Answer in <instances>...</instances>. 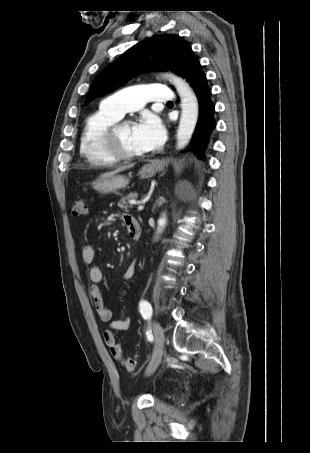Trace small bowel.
<instances>
[{"label": "small bowel", "mask_w": 310, "mask_h": 453, "mask_svg": "<svg viewBox=\"0 0 310 453\" xmlns=\"http://www.w3.org/2000/svg\"><path fill=\"white\" fill-rule=\"evenodd\" d=\"M122 220L126 225V228L137 222V220L128 213L122 214ZM95 250L89 245L85 244L81 248V258L85 264H91L94 260ZM135 262H132L121 276L122 281H127L133 278L135 275ZM88 279L92 283L89 289V295L92 299L95 310L103 322H109V329L104 332V341L108 346L111 355L116 360L123 359V349L121 344L118 342L114 331H127L131 325V318L129 316H123L120 319L113 320V313L104 302L101 290L98 284L103 280L102 270L97 266H90L88 269Z\"/></svg>", "instance_id": "obj_1"}]
</instances>
